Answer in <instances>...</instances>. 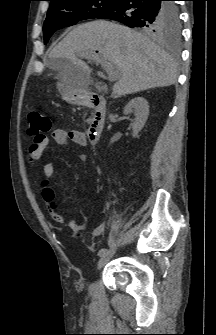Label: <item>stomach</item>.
<instances>
[{
    "label": "stomach",
    "mask_w": 216,
    "mask_h": 335,
    "mask_svg": "<svg viewBox=\"0 0 216 335\" xmlns=\"http://www.w3.org/2000/svg\"><path fill=\"white\" fill-rule=\"evenodd\" d=\"M58 86L61 89L62 98L70 103V104H78L80 103L81 99L83 98V91L79 88H72L66 81L64 77H62L59 82Z\"/></svg>",
    "instance_id": "stomach-1"
}]
</instances>
